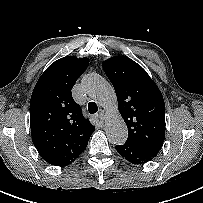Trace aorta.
<instances>
[{"label": "aorta", "instance_id": "obj_1", "mask_svg": "<svg viewBox=\"0 0 203 203\" xmlns=\"http://www.w3.org/2000/svg\"><path fill=\"white\" fill-rule=\"evenodd\" d=\"M84 91L107 113L105 131L109 142L122 145L128 137L127 126L119 114L118 102L113 87L100 75L88 74L82 81Z\"/></svg>", "mask_w": 203, "mask_h": 203}]
</instances>
